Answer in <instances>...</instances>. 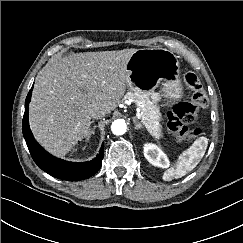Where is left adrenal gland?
<instances>
[{
  "label": "left adrenal gland",
  "mask_w": 243,
  "mask_h": 243,
  "mask_svg": "<svg viewBox=\"0 0 243 243\" xmlns=\"http://www.w3.org/2000/svg\"><path fill=\"white\" fill-rule=\"evenodd\" d=\"M133 122L135 123V129L136 130L143 128V126L141 125V123L137 119L134 118Z\"/></svg>",
  "instance_id": "1"
}]
</instances>
